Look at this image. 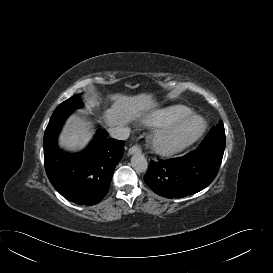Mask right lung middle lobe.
I'll use <instances>...</instances> for the list:
<instances>
[{
    "label": "right lung middle lobe",
    "instance_id": "obj_1",
    "mask_svg": "<svg viewBox=\"0 0 273 273\" xmlns=\"http://www.w3.org/2000/svg\"><path fill=\"white\" fill-rule=\"evenodd\" d=\"M82 101L80 95H73L71 98L62 102L56 110L58 111H74L76 108L82 107Z\"/></svg>",
    "mask_w": 273,
    "mask_h": 273
}]
</instances>
